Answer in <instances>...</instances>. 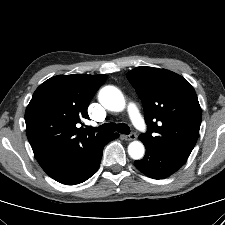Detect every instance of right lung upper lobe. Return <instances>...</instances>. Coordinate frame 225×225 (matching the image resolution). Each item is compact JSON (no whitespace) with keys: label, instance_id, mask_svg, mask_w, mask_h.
Returning a JSON list of instances; mask_svg holds the SVG:
<instances>
[{"label":"right lung upper lobe","instance_id":"right-lung-upper-lobe-1","mask_svg":"<svg viewBox=\"0 0 225 225\" xmlns=\"http://www.w3.org/2000/svg\"><path fill=\"white\" fill-rule=\"evenodd\" d=\"M106 75H58L42 83L26 108L27 137L44 171L63 157L84 153L107 133L77 128L89 119L87 108Z\"/></svg>","mask_w":225,"mask_h":225}]
</instances>
